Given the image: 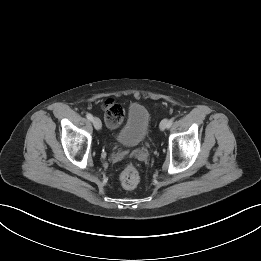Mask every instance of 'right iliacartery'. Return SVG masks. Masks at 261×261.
<instances>
[{"label": "right iliac artery", "mask_w": 261, "mask_h": 261, "mask_svg": "<svg viewBox=\"0 0 261 261\" xmlns=\"http://www.w3.org/2000/svg\"><path fill=\"white\" fill-rule=\"evenodd\" d=\"M86 117H87L88 120L93 121V116H92V114L87 113Z\"/></svg>", "instance_id": "1"}]
</instances>
